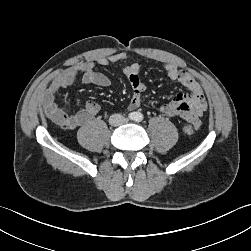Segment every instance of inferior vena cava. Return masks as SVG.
I'll return each mask as SVG.
<instances>
[{
    "mask_svg": "<svg viewBox=\"0 0 251 251\" xmlns=\"http://www.w3.org/2000/svg\"><path fill=\"white\" fill-rule=\"evenodd\" d=\"M126 118L121 114H113L109 118V123L112 126H120L126 122Z\"/></svg>",
    "mask_w": 251,
    "mask_h": 251,
    "instance_id": "602c4592",
    "label": "inferior vena cava"
}]
</instances>
